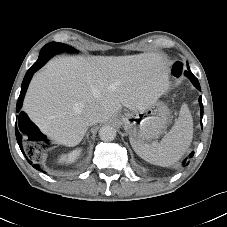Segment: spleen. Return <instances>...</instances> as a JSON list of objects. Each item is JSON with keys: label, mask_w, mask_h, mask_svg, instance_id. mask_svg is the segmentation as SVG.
<instances>
[{"label": "spleen", "mask_w": 227, "mask_h": 227, "mask_svg": "<svg viewBox=\"0 0 227 227\" xmlns=\"http://www.w3.org/2000/svg\"><path fill=\"white\" fill-rule=\"evenodd\" d=\"M193 138V119L187 104L181 106L179 117L160 142L146 144L130 138L136 154L145 161L163 167L177 162L189 148Z\"/></svg>", "instance_id": "1"}]
</instances>
